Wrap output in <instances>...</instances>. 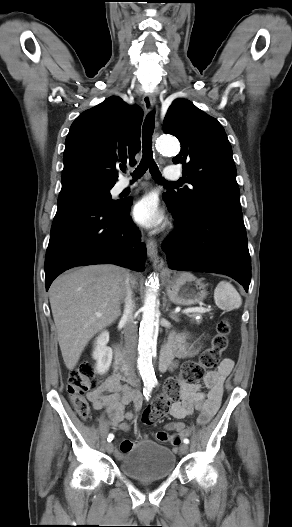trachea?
Segmentation results:
<instances>
[{
	"instance_id": "1",
	"label": "trachea",
	"mask_w": 292,
	"mask_h": 527,
	"mask_svg": "<svg viewBox=\"0 0 292 527\" xmlns=\"http://www.w3.org/2000/svg\"><path fill=\"white\" fill-rule=\"evenodd\" d=\"M154 119H155V112L152 111L148 114L147 118L145 119L144 125H143V135H142V143H143V155L140 164L135 169V171L132 174V177L134 180L140 178L141 176L146 173L147 169H149L152 177L158 182L162 183L164 185H177L178 182H166L161 176V173L157 167V164L155 163L153 159V151H152V135L154 131Z\"/></svg>"
}]
</instances>
